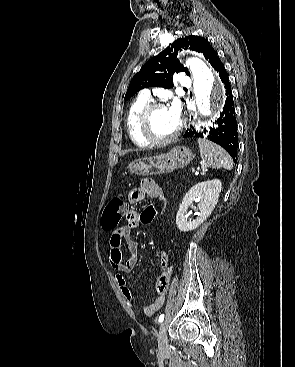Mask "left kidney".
<instances>
[{"label": "left kidney", "mask_w": 295, "mask_h": 367, "mask_svg": "<svg viewBox=\"0 0 295 367\" xmlns=\"http://www.w3.org/2000/svg\"><path fill=\"white\" fill-rule=\"evenodd\" d=\"M222 189V183L218 179L200 182L190 188L185 194L179 210L176 215V225L182 232L196 229L212 213L215 208L219 194ZM198 202L197 217L193 220H187L186 213L193 202Z\"/></svg>", "instance_id": "left-kidney-1"}]
</instances>
